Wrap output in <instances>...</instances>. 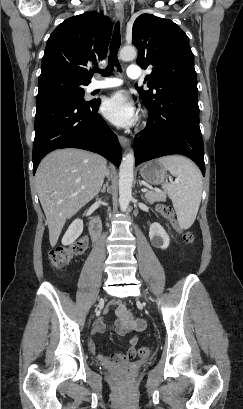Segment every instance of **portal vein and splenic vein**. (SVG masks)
<instances>
[{
    "instance_id": "obj_1",
    "label": "portal vein and splenic vein",
    "mask_w": 243,
    "mask_h": 409,
    "mask_svg": "<svg viewBox=\"0 0 243 409\" xmlns=\"http://www.w3.org/2000/svg\"><path fill=\"white\" fill-rule=\"evenodd\" d=\"M142 191H143V192H147V191H148V189L144 188V189H142Z\"/></svg>"
}]
</instances>
